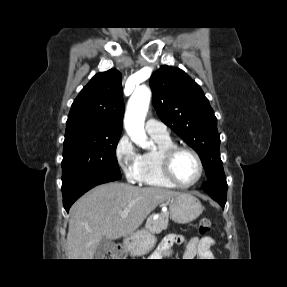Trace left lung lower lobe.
Returning <instances> with one entry per match:
<instances>
[{"mask_svg":"<svg viewBox=\"0 0 287 287\" xmlns=\"http://www.w3.org/2000/svg\"><path fill=\"white\" fill-rule=\"evenodd\" d=\"M212 199H214L215 201H217L221 206L222 208H224L225 206V203H226V198H222V197H218V196H213V195H210Z\"/></svg>","mask_w":287,"mask_h":287,"instance_id":"obj_1","label":"left lung lower lobe"}]
</instances>
